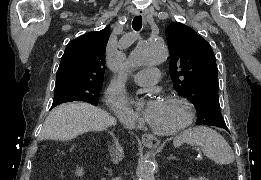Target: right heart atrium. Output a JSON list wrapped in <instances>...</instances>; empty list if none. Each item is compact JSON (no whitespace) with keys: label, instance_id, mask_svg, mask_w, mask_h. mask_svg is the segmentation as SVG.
<instances>
[{"label":"right heart atrium","instance_id":"right-heart-atrium-1","mask_svg":"<svg viewBox=\"0 0 261 180\" xmlns=\"http://www.w3.org/2000/svg\"><path fill=\"white\" fill-rule=\"evenodd\" d=\"M103 103L106 108H111V112L118 114V117L124 115L129 118V112L127 108V101L121 94L115 91L113 87L106 89L103 97Z\"/></svg>","mask_w":261,"mask_h":180}]
</instances>
